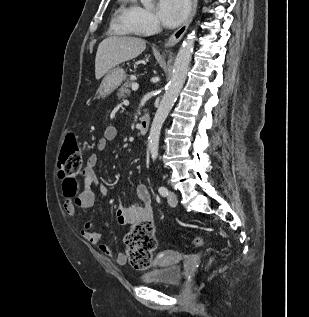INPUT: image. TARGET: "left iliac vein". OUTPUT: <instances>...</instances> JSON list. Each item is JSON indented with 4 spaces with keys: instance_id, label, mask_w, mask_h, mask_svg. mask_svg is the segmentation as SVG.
<instances>
[{
    "instance_id": "4c4485c4",
    "label": "left iliac vein",
    "mask_w": 309,
    "mask_h": 317,
    "mask_svg": "<svg viewBox=\"0 0 309 317\" xmlns=\"http://www.w3.org/2000/svg\"><path fill=\"white\" fill-rule=\"evenodd\" d=\"M167 200L170 206L175 207L178 203L176 194L173 191H170L167 195Z\"/></svg>"
}]
</instances>
